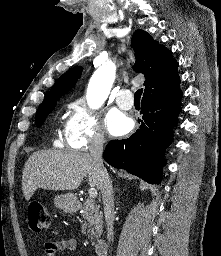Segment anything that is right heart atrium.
<instances>
[{
    "instance_id": "1",
    "label": "right heart atrium",
    "mask_w": 221,
    "mask_h": 256,
    "mask_svg": "<svg viewBox=\"0 0 221 256\" xmlns=\"http://www.w3.org/2000/svg\"><path fill=\"white\" fill-rule=\"evenodd\" d=\"M62 141L68 147L78 150L102 146L105 135L96 112L82 102L73 103L64 126Z\"/></svg>"
}]
</instances>
